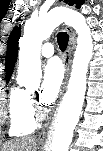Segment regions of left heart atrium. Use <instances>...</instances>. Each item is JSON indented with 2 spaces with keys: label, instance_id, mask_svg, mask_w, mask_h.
<instances>
[{
  "label": "left heart atrium",
  "instance_id": "obj_1",
  "mask_svg": "<svg viewBox=\"0 0 103 151\" xmlns=\"http://www.w3.org/2000/svg\"><path fill=\"white\" fill-rule=\"evenodd\" d=\"M63 80V70L56 60L48 62L43 71V82L40 91V102L47 106L57 97Z\"/></svg>",
  "mask_w": 103,
  "mask_h": 151
}]
</instances>
